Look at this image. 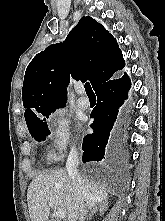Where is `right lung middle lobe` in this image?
<instances>
[{"label":"right lung middle lobe","instance_id":"obj_1","mask_svg":"<svg viewBox=\"0 0 165 221\" xmlns=\"http://www.w3.org/2000/svg\"><path fill=\"white\" fill-rule=\"evenodd\" d=\"M51 113L52 112L45 113L43 114V116H46L48 118ZM43 116H40L34 121L27 123L30 134L37 141L45 140L46 136L50 134L48 125L46 123V118H44Z\"/></svg>","mask_w":165,"mask_h":221}]
</instances>
